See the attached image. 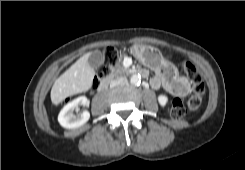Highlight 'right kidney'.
<instances>
[{"mask_svg": "<svg viewBox=\"0 0 245 170\" xmlns=\"http://www.w3.org/2000/svg\"><path fill=\"white\" fill-rule=\"evenodd\" d=\"M88 99L85 96H80L63 107L58 115V122L67 129H73L85 124L89 118L90 113L85 110L79 115H75V110L78 106H86Z\"/></svg>", "mask_w": 245, "mask_h": 170, "instance_id": "right-kidney-1", "label": "right kidney"}]
</instances>
